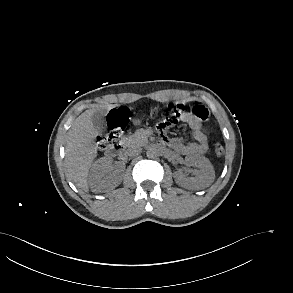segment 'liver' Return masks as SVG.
Returning a JSON list of instances; mask_svg holds the SVG:
<instances>
[{
    "mask_svg": "<svg viewBox=\"0 0 293 293\" xmlns=\"http://www.w3.org/2000/svg\"><path fill=\"white\" fill-rule=\"evenodd\" d=\"M110 109V106H107ZM95 108L79 115L67 134L66 165L70 179L83 191H88V171L97 156L96 132L92 123Z\"/></svg>",
    "mask_w": 293,
    "mask_h": 293,
    "instance_id": "6515ba94",
    "label": "liver"
}]
</instances>
